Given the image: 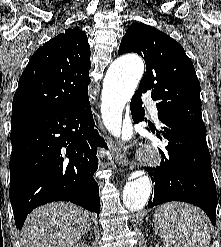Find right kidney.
I'll list each match as a JSON object with an SVG mask.
<instances>
[{
    "instance_id": "1",
    "label": "right kidney",
    "mask_w": 221,
    "mask_h": 247,
    "mask_svg": "<svg viewBox=\"0 0 221 247\" xmlns=\"http://www.w3.org/2000/svg\"><path fill=\"white\" fill-rule=\"evenodd\" d=\"M73 247H89V246L85 245L84 243H78L77 245Z\"/></svg>"
}]
</instances>
